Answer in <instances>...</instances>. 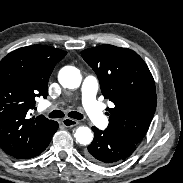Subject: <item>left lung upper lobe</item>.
<instances>
[{"mask_svg": "<svg viewBox=\"0 0 183 183\" xmlns=\"http://www.w3.org/2000/svg\"><path fill=\"white\" fill-rule=\"evenodd\" d=\"M81 55L97 74L104 98L115 105L107 108L106 129L140 143L157 102L154 80L146 63L133 50L113 45L86 49Z\"/></svg>", "mask_w": 183, "mask_h": 183, "instance_id": "left-lung-upper-lobe-1", "label": "left lung upper lobe"}]
</instances>
